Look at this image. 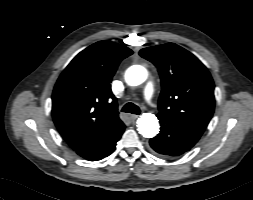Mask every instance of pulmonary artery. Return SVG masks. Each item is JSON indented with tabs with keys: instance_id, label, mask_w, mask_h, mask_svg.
<instances>
[{
	"instance_id": "obj_1",
	"label": "pulmonary artery",
	"mask_w": 253,
	"mask_h": 200,
	"mask_svg": "<svg viewBox=\"0 0 253 200\" xmlns=\"http://www.w3.org/2000/svg\"><path fill=\"white\" fill-rule=\"evenodd\" d=\"M153 92H154L153 84L152 82H148L144 88V98L149 104H151Z\"/></svg>"
}]
</instances>
